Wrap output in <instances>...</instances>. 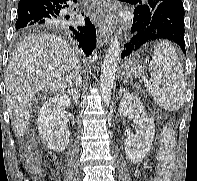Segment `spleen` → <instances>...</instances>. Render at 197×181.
I'll use <instances>...</instances> for the list:
<instances>
[{"mask_svg": "<svg viewBox=\"0 0 197 181\" xmlns=\"http://www.w3.org/2000/svg\"><path fill=\"white\" fill-rule=\"evenodd\" d=\"M149 94L163 109L179 110L185 102L184 71L174 47L167 41L154 46L149 63Z\"/></svg>", "mask_w": 197, "mask_h": 181, "instance_id": "obj_1", "label": "spleen"}]
</instances>
